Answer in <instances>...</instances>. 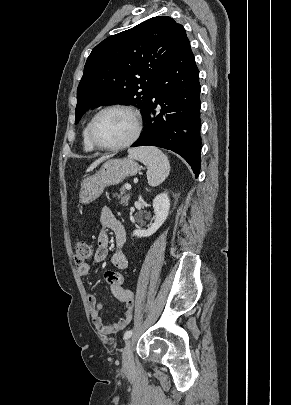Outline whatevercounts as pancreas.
Here are the masks:
<instances>
[{
    "mask_svg": "<svg viewBox=\"0 0 291 405\" xmlns=\"http://www.w3.org/2000/svg\"><path fill=\"white\" fill-rule=\"evenodd\" d=\"M117 197H118V199H120V203H121L123 206L128 205L129 198H130V194H126V193H125V188H124V187L121 188L120 194H118Z\"/></svg>",
    "mask_w": 291,
    "mask_h": 405,
    "instance_id": "obj_1",
    "label": "pancreas"
}]
</instances>
